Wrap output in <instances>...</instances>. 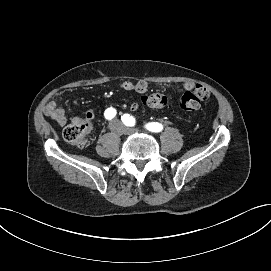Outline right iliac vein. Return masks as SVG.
Instances as JSON below:
<instances>
[{
  "label": "right iliac vein",
  "instance_id": "obj_1",
  "mask_svg": "<svg viewBox=\"0 0 271 271\" xmlns=\"http://www.w3.org/2000/svg\"><path fill=\"white\" fill-rule=\"evenodd\" d=\"M110 130L118 135H120L121 133H125V129L124 126L121 122L114 120L111 124H110Z\"/></svg>",
  "mask_w": 271,
  "mask_h": 271
}]
</instances>
